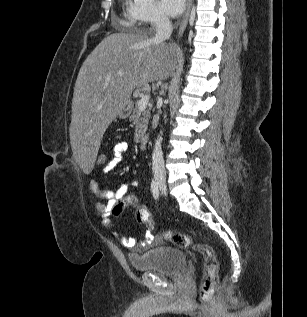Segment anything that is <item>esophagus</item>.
I'll return each instance as SVG.
<instances>
[{
  "instance_id": "1",
  "label": "esophagus",
  "mask_w": 307,
  "mask_h": 317,
  "mask_svg": "<svg viewBox=\"0 0 307 317\" xmlns=\"http://www.w3.org/2000/svg\"><path fill=\"white\" fill-rule=\"evenodd\" d=\"M191 5H192V0H187V2H186V10H185V13L183 15L182 20L180 21V26H179V31H178V37L179 38L183 35L184 30L186 29V26H187V23H188V19H189V15H190Z\"/></svg>"
}]
</instances>
